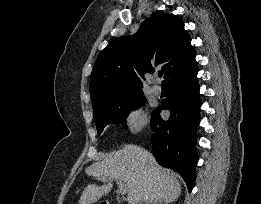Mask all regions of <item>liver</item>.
Segmentation results:
<instances>
[{
	"label": "liver",
	"instance_id": "obj_1",
	"mask_svg": "<svg viewBox=\"0 0 261 204\" xmlns=\"http://www.w3.org/2000/svg\"><path fill=\"white\" fill-rule=\"evenodd\" d=\"M86 173L103 178L106 184H88L79 204H92L108 194L114 179L126 184L128 204H138L141 201L172 203L181 194V184L175 173L160 167L150 152L133 144L124 145L113 157L93 163L86 169Z\"/></svg>",
	"mask_w": 261,
	"mask_h": 204
}]
</instances>
